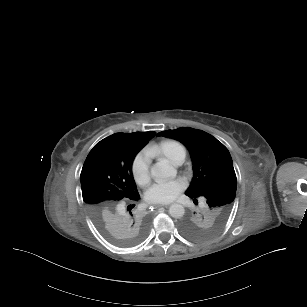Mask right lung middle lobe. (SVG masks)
Here are the masks:
<instances>
[{
  "instance_id": "right-lung-middle-lobe-1",
  "label": "right lung middle lobe",
  "mask_w": 307,
  "mask_h": 307,
  "mask_svg": "<svg viewBox=\"0 0 307 307\" xmlns=\"http://www.w3.org/2000/svg\"><path fill=\"white\" fill-rule=\"evenodd\" d=\"M80 179L83 200L86 204L102 200L116 192L114 182L92 166L82 169Z\"/></svg>"
}]
</instances>
